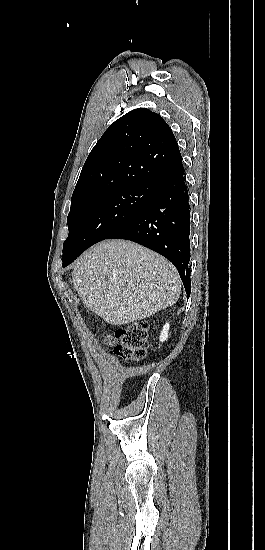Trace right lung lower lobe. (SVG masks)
I'll return each mask as SVG.
<instances>
[{"label":"right lung lower lobe","mask_w":265,"mask_h":550,"mask_svg":"<svg viewBox=\"0 0 265 550\" xmlns=\"http://www.w3.org/2000/svg\"><path fill=\"white\" fill-rule=\"evenodd\" d=\"M190 205L182 159L158 181L141 214L107 239H126L152 249L177 268L187 298L191 292Z\"/></svg>","instance_id":"98d812e1"}]
</instances>
